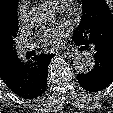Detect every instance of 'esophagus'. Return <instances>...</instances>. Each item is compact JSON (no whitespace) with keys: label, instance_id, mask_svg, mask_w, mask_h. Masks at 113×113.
<instances>
[{"label":"esophagus","instance_id":"1","mask_svg":"<svg viewBox=\"0 0 113 113\" xmlns=\"http://www.w3.org/2000/svg\"><path fill=\"white\" fill-rule=\"evenodd\" d=\"M63 54L67 55L68 57H74L76 56L78 53L75 50H66L63 52Z\"/></svg>","mask_w":113,"mask_h":113}]
</instances>
